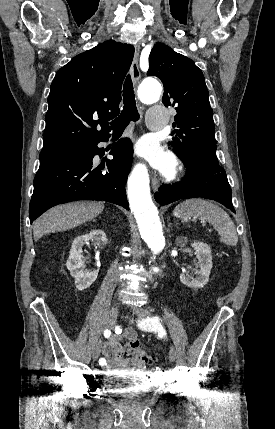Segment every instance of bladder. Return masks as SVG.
Listing matches in <instances>:
<instances>
[{"label":"bladder","instance_id":"obj_1","mask_svg":"<svg viewBox=\"0 0 275 429\" xmlns=\"http://www.w3.org/2000/svg\"><path fill=\"white\" fill-rule=\"evenodd\" d=\"M158 393V384H150L149 377H109L108 398H121L122 403H141Z\"/></svg>","mask_w":275,"mask_h":429}]
</instances>
